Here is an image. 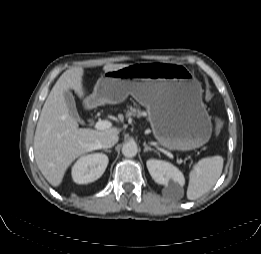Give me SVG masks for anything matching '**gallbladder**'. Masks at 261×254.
Wrapping results in <instances>:
<instances>
[{
  "label": "gallbladder",
  "mask_w": 261,
  "mask_h": 254,
  "mask_svg": "<svg viewBox=\"0 0 261 254\" xmlns=\"http://www.w3.org/2000/svg\"><path fill=\"white\" fill-rule=\"evenodd\" d=\"M64 98H65V102L67 104V107L69 109L70 115L77 121H80V117L78 115L77 109H76V105H75V100L74 97L72 95V93L70 91H65L64 92Z\"/></svg>",
  "instance_id": "gallbladder-1"
}]
</instances>
